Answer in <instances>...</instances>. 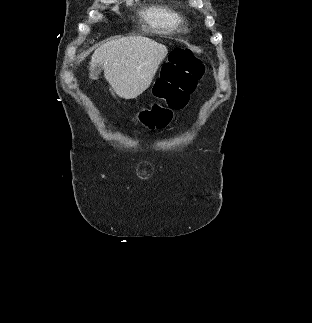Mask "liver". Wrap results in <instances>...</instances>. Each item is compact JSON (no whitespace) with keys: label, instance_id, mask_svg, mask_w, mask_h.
<instances>
[{"label":"liver","instance_id":"liver-1","mask_svg":"<svg viewBox=\"0 0 312 323\" xmlns=\"http://www.w3.org/2000/svg\"><path fill=\"white\" fill-rule=\"evenodd\" d=\"M167 54L166 46L143 36L107 40L90 60V78L97 80L95 70L102 66L111 92L124 100H132L149 88Z\"/></svg>","mask_w":312,"mask_h":323}]
</instances>
